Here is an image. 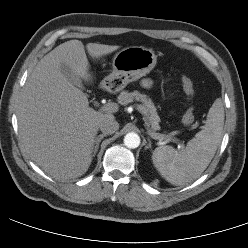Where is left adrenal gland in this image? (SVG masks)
<instances>
[{"label":"left adrenal gland","instance_id":"left-adrenal-gland-1","mask_svg":"<svg viewBox=\"0 0 248 248\" xmlns=\"http://www.w3.org/2000/svg\"><path fill=\"white\" fill-rule=\"evenodd\" d=\"M145 148H146V149L151 148V141H150V139H148V145H147Z\"/></svg>","mask_w":248,"mask_h":248}]
</instances>
